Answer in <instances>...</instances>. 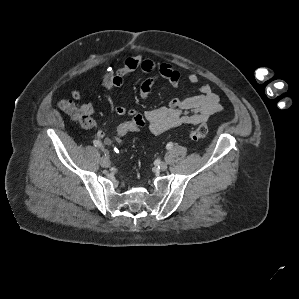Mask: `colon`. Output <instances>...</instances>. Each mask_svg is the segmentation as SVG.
Instances as JSON below:
<instances>
[{
    "label": "colon",
    "mask_w": 299,
    "mask_h": 299,
    "mask_svg": "<svg viewBox=\"0 0 299 299\" xmlns=\"http://www.w3.org/2000/svg\"><path fill=\"white\" fill-rule=\"evenodd\" d=\"M59 108L69 115L73 120L80 123L82 126H89L92 123V118L85 112L82 106H78L72 100L64 99L58 103ZM142 125L134 119H127L120 122L115 129V140L121 143L129 135L136 134L142 130ZM209 129L205 124H201L189 132V136L193 140H200L207 137Z\"/></svg>",
    "instance_id": "5ec220e1"
}]
</instances>
